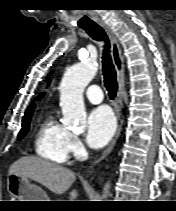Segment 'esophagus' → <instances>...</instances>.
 I'll return each mask as SVG.
<instances>
[{"label": "esophagus", "instance_id": "obj_1", "mask_svg": "<svg viewBox=\"0 0 176 211\" xmlns=\"http://www.w3.org/2000/svg\"><path fill=\"white\" fill-rule=\"evenodd\" d=\"M99 25L104 29V31L106 32L110 40L111 53H112L114 66L117 72V79H118V86H119L118 93H117V102L119 104V107L121 108L122 95H123V90H124V85H125L124 59L121 53L118 39L116 38L111 28L108 25H106L104 22H99ZM121 129H122V120H121L119 129L117 131L115 138L113 139L111 144L108 146V148L103 152L102 156L94 162V165L100 162L102 159H104L112 151V149L114 148L116 144L117 139L120 136Z\"/></svg>", "mask_w": 176, "mask_h": 211}]
</instances>
